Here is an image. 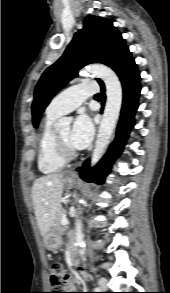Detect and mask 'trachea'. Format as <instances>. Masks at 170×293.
Wrapping results in <instances>:
<instances>
[{"label":"trachea","mask_w":170,"mask_h":293,"mask_svg":"<svg viewBox=\"0 0 170 293\" xmlns=\"http://www.w3.org/2000/svg\"><path fill=\"white\" fill-rule=\"evenodd\" d=\"M95 97H101V95L100 94H96Z\"/></svg>","instance_id":"3493384b"}]
</instances>
